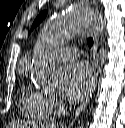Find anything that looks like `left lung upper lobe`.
Returning <instances> with one entry per match:
<instances>
[{
	"instance_id": "obj_1",
	"label": "left lung upper lobe",
	"mask_w": 125,
	"mask_h": 128,
	"mask_svg": "<svg viewBox=\"0 0 125 128\" xmlns=\"http://www.w3.org/2000/svg\"><path fill=\"white\" fill-rule=\"evenodd\" d=\"M46 15H47V11L41 12V14L35 19V21H34V23H33V25H32L31 30H32L34 27H36L40 22H42L43 19L46 17Z\"/></svg>"
}]
</instances>
